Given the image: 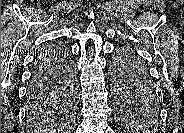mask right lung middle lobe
Returning a JSON list of instances; mask_svg holds the SVG:
<instances>
[{"instance_id":"right-lung-middle-lobe-1","label":"right lung middle lobe","mask_w":184,"mask_h":133,"mask_svg":"<svg viewBox=\"0 0 184 133\" xmlns=\"http://www.w3.org/2000/svg\"><path fill=\"white\" fill-rule=\"evenodd\" d=\"M41 56L49 62L46 70L50 73V83L42 91H34L27 95V110L30 116H40V114L50 111L57 106H62L73 101L74 90V69L60 46L47 48ZM65 52V55L62 54Z\"/></svg>"}]
</instances>
